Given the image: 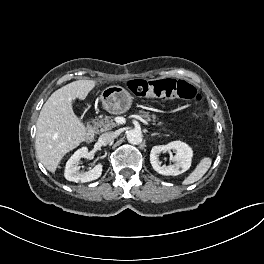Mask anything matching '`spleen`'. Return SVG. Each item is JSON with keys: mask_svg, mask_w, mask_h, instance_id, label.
Masks as SVG:
<instances>
[{"mask_svg": "<svg viewBox=\"0 0 264 264\" xmlns=\"http://www.w3.org/2000/svg\"><path fill=\"white\" fill-rule=\"evenodd\" d=\"M211 164H212L211 158L203 157L198 163V165L196 166V168L189 174V176H187L184 179L182 184L189 185V184H193L197 182L198 180H200L205 175V173L208 171Z\"/></svg>", "mask_w": 264, "mask_h": 264, "instance_id": "spleen-1", "label": "spleen"}]
</instances>
